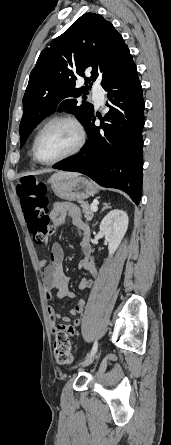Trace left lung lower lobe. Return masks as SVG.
Instances as JSON below:
<instances>
[{
	"instance_id": "left-lung-lower-lobe-1",
	"label": "left lung lower lobe",
	"mask_w": 171,
	"mask_h": 445,
	"mask_svg": "<svg viewBox=\"0 0 171 445\" xmlns=\"http://www.w3.org/2000/svg\"><path fill=\"white\" fill-rule=\"evenodd\" d=\"M109 112L99 127L95 117L84 127L89 141L81 152L55 169L77 171L99 185L121 189L139 204L142 190L144 100L134 63L115 73L103 86Z\"/></svg>"
}]
</instances>
